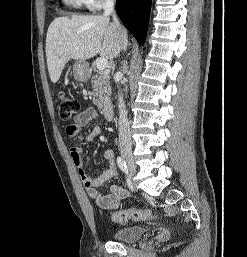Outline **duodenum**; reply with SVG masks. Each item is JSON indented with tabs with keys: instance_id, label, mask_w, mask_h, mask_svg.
I'll use <instances>...</instances> for the list:
<instances>
[{
	"instance_id": "obj_1",
	"label": "duodenum",
	"mask_w": 247,
	"mask_h": 257,
	"mask_svg": "<svg viewBox=\"0 0 247 257\" xmlns=\"http://www.w3.org/2000/svg\"><path fill=\"white\" fill-rule=\"evenodd\" d=\"M113 112V106L110 104H106L102 108V114L107 120H110L113 117Z\"/></svg>"
}]
</instances>
